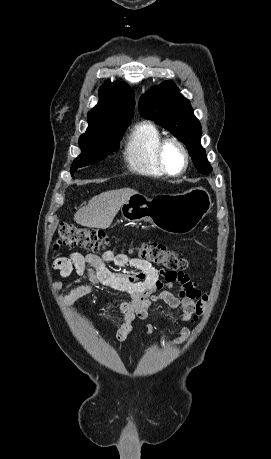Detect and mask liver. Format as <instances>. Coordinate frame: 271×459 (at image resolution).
<instances>
[{
  "instance_id": "liver-1",
  "label": "liver",
  "mask_w": 271,
  "mask_h": 459,
  "mask_svg": "<svg viewBox=\"0 0 271 459\" xmlns=\"http://www.w3.org/2000/svg\"><path fill=\"white\" fill-rule=\"evenodd\" d=\"M138 192L123 188V190H110L89 200L87 206L80 208L74 216L76 224L86 228H110L116 214L128 198L135 196Z\"/></svg>"
}]
</instances>
